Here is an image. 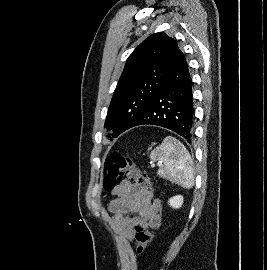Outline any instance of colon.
<instances>
[{
    "instance_id": "obj_1",
    "label": "colon",
    "mask_w": 267,
    "mask_h": 270,
    "mask_svg": "<svg viewBox=\"0 0 267 270\" xmlns=\"http://www.w3.org/2000/svg\"><path fill=\"white\" fill-rule=\"evenodd\" d=\"M106 175L103 186L106 191H113L121 178L131 180L134 184L154 190L149 178L136 169L132 161L120 153H112L105 161ZM152 241V233L144 222H137L135 250L137 255L143 254Z\"/></svg>"
}]
</instances>
